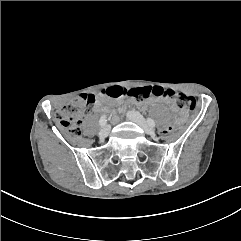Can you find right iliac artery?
Segmentation results:
<instances>
[{
  "label": "right iliac artery",
  "instance_id": "1",
  "mask_svg": "<svg viewBox=\"0 0 241 241\" xmlns=\"http://www.w3.org/2000/svg\"><path fill=\"white\" fill-rule=\"evenodd\" d=\"M106 122H107L106 116L102 115L100 120H99V125L103 127V126L106 125Z\"/></svg>",
  "mask_w": 241,
  "mask_h": 241
}]
</instances>
